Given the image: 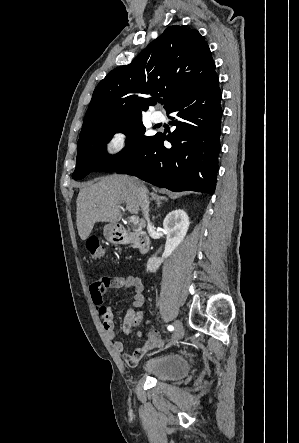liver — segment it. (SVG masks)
<instances>
[{"label": "liver", "mask_w": 299, "mask_h": 443, "mask_svg": "<svg viewBox=\"0 0 299 443\" xmlns=\"http://www.w3.org/2000/svg\"><path fill=\"white\" fill-rule=\"evenodd\" d=\"M146 186L137 178L125 175H109L82 185L77 197V229L82 240H86L96 222L117 224L121 218L122 204L137 214L142 200L138 187ZM153 198L154 193H150Z\"/></svg>", "instance_id": "1"}]
</instances>
